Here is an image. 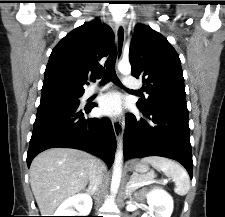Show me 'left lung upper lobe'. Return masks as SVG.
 I'll use <instances>...</instances> for the list:
<instances>
[{
	"instance_id": "left-lung-upper-lobe-1",
	"label": "left lung upper lobe",
	"mask_w": 225,
	"mask_h": 217,
	"mask_svg": "<svg viewBox=\"0 0 225 217\" xmlns=\"http://www.w3.org/2000/svg\"><path fill=\"white\" fill-rule=\"evenodd\" d=\"M129 60L132 76L142 78V92L137 107L152 108L156 104H186L181 61L172 45L149 26L138 25L132 36Z\"/></svg>"
}]
</instances>
